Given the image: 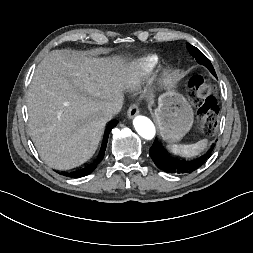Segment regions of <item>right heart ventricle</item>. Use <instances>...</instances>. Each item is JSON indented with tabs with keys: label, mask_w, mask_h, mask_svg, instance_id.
<instances>
[{
	"label": "right heart ventricle",
	"mask_w": 253,
	"mask_h": 253,
	"mask_svg": "<svg viewBox=\"0 0 253 253\" xmlns=\"http://www.w3.org/2000/svg\"><path fill=\"white\" fill-rule=\"evenodd\" d=\"M158 62L156 55H148L134 61L127 70V82L137 87L155 68Z\"/></svg>",
	"instance_id": "obj_1"
}]
</instances>
